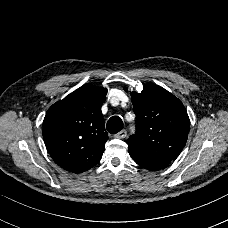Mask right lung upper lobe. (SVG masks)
Wrapping results in <instances>:
<instances>
[{"label":"right lung upper lobe","mask_w":228,"mask_h":228,"mask_svg":"<svg viewBox=\"0 0 228 228\" xmlns=\"http://www.w3.org/2000/svg\"><path fill=\"white\" fill-rule=\"evenodd\" d=\"M107 89L86 84L53 104L43 121V139L63 169L81 173L102 158L108 139L101 106Z\"/></svg>","instance_id":"1"}]
</instances>
